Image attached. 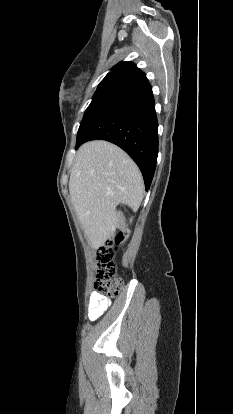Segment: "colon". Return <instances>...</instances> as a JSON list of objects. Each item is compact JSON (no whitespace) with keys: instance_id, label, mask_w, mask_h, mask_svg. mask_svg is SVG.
<instances>
[{"instance_id":"5ec220e1","label":"colon","mask_w":233,"mask_h":414,"mask_svg":"<svg viewBox=\"0 0 233 414\" xmlns=\"http://www.w3.org/2000/svg\"><path fill=\"white\" fill-rule=\"evenodd\" d=\"M128 236L129 232L127 230L119 229L100 247L97 253L99 268L95 281V291L97 293L114 298L121 292L123 280L115 274L114 250L116 246L123 244Z\"/></svg>"}]
</instances>
